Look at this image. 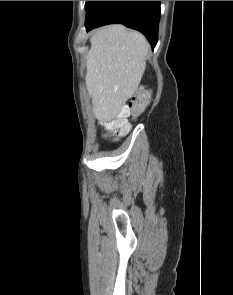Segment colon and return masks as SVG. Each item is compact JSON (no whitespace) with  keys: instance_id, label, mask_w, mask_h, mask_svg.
Segmentation results:
<instances>
[{"instance_id":"5ec220e1","label":"colon","mask_w":233,"mask_h":295,"mask_svg":"<svg viewBox=\"0 0 233 295\" xmlns=\"http://www.w3.org/2000/svg\"><path fill=\"white\" fill-rule=\"evenodd\" d=\"M149 101V94L144 88L138 89L130 98L127 105L123 106L117 116L104 124L107 134L115 137L124 136L129 129L126 118L132 115L140 114Z\"/></svg>"}]
</instances>
